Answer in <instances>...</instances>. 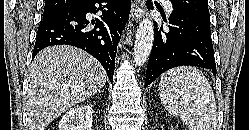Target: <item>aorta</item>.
Here are the masks:
<instances>
[{
	"mask_svg": "<svg viewBox=\"0 0 249 130\" xmlns=\"http://www.w3.org/2000/svg\"><path fill=\"white\" fill-rule=\"evenodd\" d=\"M154 41V26L149 17L141 21L134 43V62L141 67L148 60Z\"/></svg>",
	"mask_w": 249,
	"mask_h": 130,
	"instance_id": "1",
	"label": "aorta"
}]
</instances>
